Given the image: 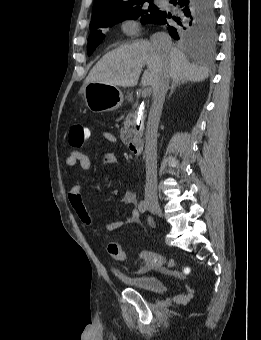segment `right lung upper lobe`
I'll return each instance as SVG.
<instances>
[{
  "label": "right lung upper lobe",
  "mask_w": 261,
  "mask_h": 340,
  "mask_svg": "<svg viewBox=\"0 0 261 340\" xmlns=\"http://www.w3.org/2000/svg\"><path fill=\"white\" fill-rule=\"evenodd\" d=\"M139 1L143 0H95L91 22L114 15L120 9Z\"/></svg>",
  "instance_id": "cb5924a9"
}]
</instances>
